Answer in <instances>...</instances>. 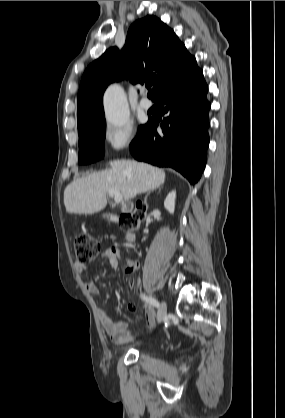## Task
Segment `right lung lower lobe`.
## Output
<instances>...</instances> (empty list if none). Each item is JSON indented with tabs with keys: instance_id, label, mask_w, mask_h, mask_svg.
Segmentation results:
<instances>
[{
	"instance_id": "obj_1",
	"label": "right lung lower lobe",
	"mask_w": 285,
	"mask_h": 418,
	"mask_svg": "<svg viewBox=\"0 0 285 418\" xmlns=\"http://www.w3.org/2000/svg\"><path fill=\"white\" fill-rule=\"evenodd\" d=\"M207 92L200 69L166 90L156 101L168 114L161 122L162 133L156 131L159 121L149 118L130 144L134 158L174 168L191 184L198 182L209 146Z\"/></svg>"
}]
</instances>
